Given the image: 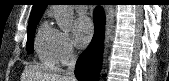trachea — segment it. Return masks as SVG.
I'll use <instances>...</instances> for the list:
<instances>
[{
  "label": "trachea",
  "mask_w": 169,
  "mask_h": 81,
  "mask_svg": "<svg viewBox=\"0 0 169 81\" xmlns=\"http://www.w3.org/2000/svg\"><path fill=\"white\" fill-rule=\"evenodd\" d=\"M85 3H87V2H82V4H81V5H86Z\"/></svg>",
  "instance_id": "1"
}]
</instances>
